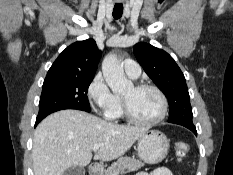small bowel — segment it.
Wrapping results in <instances>:
<instances>
[{"label":"small bowel","instance_id":"small-bowel-1","mask_svg":"<svg viewBox=\"0 0 233 175\" xmlns=\"http://www.w3.org/2000/svg\"><path fill=\"white\" fill-rule=\"evenodd\" d=\"M136 175H173V174L170 169L166 167H160L151 172L140 171Z\"/></svg>","mask_w":233,"mask_h":175}]
</instances>
